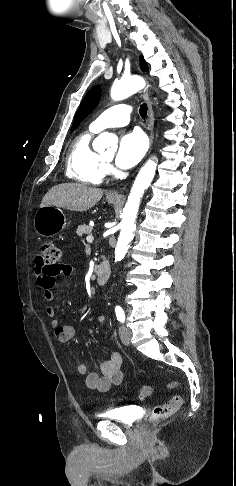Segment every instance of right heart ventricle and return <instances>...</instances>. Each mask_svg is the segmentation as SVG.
<instances>
[{
	"mask_svg": "<svg viewBox=\"0 0 236 486\" xmlns=\"http://www.w3.org/2000/svg\"><path fill=\"white\" fill-rule=\"evenodd\" d=\"M94 133L89 129L79 134L73 140L66 158V176L87 185L100 184L106 174L104 160L91 147Z\"/></svg>",
	"mask_w": 236,
	"mask_h": 486,
	"instance_id": "1",
	"label": "right heart ventricle"
}]
</instances>
